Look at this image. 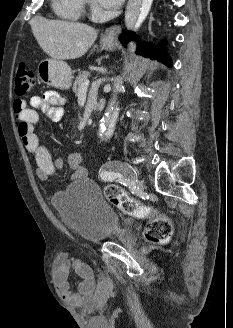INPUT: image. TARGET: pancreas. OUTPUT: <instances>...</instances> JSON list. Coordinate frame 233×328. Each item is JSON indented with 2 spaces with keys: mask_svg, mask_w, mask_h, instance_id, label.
I'll return each mask as SVG.
<instances>
[{
  "mask_svg": "<svg viewBox=\"0 0 233 328\" xmlns=\"http://www.w3.org/2000/svg\"><path fill=\"white\" fill-rule=\"evenodd\" d=\"M88 76H89L88 71H82L77 75L73 84V92L75 93L76 96L79 93L82 83L88 78Z\"/></svg>",
  "mask_w": 233,
  "mask_h": 328,
  "instance_id": "cf45deb5",
  "label": "pancreas"
}]
</instances>
